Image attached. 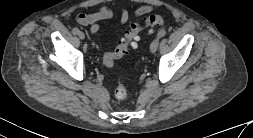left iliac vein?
Instances as JSON below:
<instances>
[{
    "mask_svg": "<svg viewBox=\"0 0 253 138\" xmlns=\"http://www.w3.org/2000/svg\"><path fill=\"white\" fill-rule=\"evenodd\" d=\"M159 44V38H155L150 44V52L155 53Z\"/></svg>",
    "mask_w": 253,
    "mask_h": 138,
    "instance_id": "left-iliac-vein-1",
    "label": "left iliac vein"
}]
</instances>
